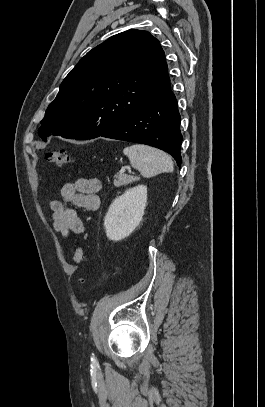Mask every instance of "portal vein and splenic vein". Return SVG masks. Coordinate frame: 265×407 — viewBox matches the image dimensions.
<instances>
[{
  "label": "portal vein and splenic vein",
  "mask_w": 265,
  "mask_h": 407,
  "mask_svg": "<svg viewBox=\"0 0 265 407\" xmlns=\"http://www.w3.org/2000/svg\"><path fill=\"white\" fill-rule=\"evenodd\" d=\"M124 171H125V169H124V168H122V169H121V172H124Z\"/></svg>",
  "instance_id": "1"
}]
</instances>
